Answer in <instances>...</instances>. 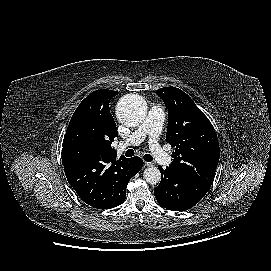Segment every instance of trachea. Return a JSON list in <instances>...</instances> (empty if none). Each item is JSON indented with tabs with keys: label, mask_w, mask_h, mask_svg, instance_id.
Listing matches in <instances>:
<instances>
[{
	"label": "trachea",
	"mask_w": 271,
	"mask_h": 271,
	"mask_svg": "<svg viewBox=\"0 0 271 271\" xmlns=\"http://www.w3.org/2000/svg\"><path fill=\"white\" fill-rule=\"evenodd\" d=\"M126 156H127V157H132V156H134V151H133L132 149H128V150L126 151ZM143 158H144V160L147 161V162H151V161L153 160V157H152L150 154H145Z\"/></svg>",
	"instance_id": "trachea-1"
}]
</instances>
